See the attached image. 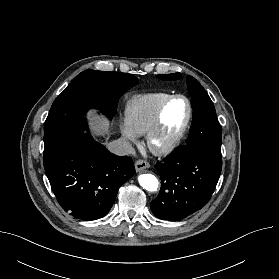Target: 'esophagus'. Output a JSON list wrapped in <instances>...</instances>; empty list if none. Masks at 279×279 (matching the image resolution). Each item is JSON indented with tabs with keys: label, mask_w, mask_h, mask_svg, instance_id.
Instances as JSON below:
<instances>
[{
	"label": "esophagus",
	"mask_w": 279,
	"mask_h": 279,
	"mask_svg": "<svg viewBox=\"0 0 279 279\" xmlns=\"http://www.w3.org/2000/svg\"><path fill=\"white\" fill-rule=\"evenodd\" d=\"M150 167V164L144 160H137L135 162V169L137 172H142L143 170Z\"/></svg>",
	"instance_id": "34e87169"
}]
</instances>
